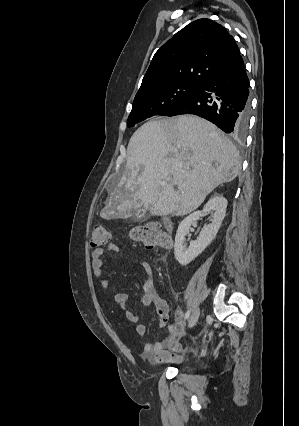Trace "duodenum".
Wrapping results in <instances>:
<instances>
[{
  "label": "duodenum",
  "mask_w": 299,
  "mask_h": 426,
  "mask_svg": "<svg viewBox=\"0 0 299 426\" xmlns=\"http://www.w3.org/2000/svg\"><path fill=\"white\" fill-rule=\"evenodd\" d=\"M167 228L170 229L172 227L171 223L169 221H167Z\"/></svg>",
  "instance_id": "obj_1"
}]
</instances>
